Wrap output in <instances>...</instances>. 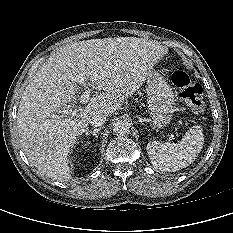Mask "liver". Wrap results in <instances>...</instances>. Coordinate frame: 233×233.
<instances>
[{
    "mask_svg": "<svg viewBox=\"0 0 233 233\" xmlns=\"http://www.w3.org/2000/svg\"><path fill=\"white\" fill-rule=\"evenodd\" d=\"M167 52L153 40L136 37L91 39L69 44L52 54L25 88L17 113L20 142L41 175L60 182L71 179L69 154L88 131V117H107L122 107ZM83 76L99 92L74 114L60 111L76 101Z\"/></svg>",
    "mask_w": 233,
    "mask_h": 233,
    "instance_id": "obj_1",
    "label": "liver"
}]
</instances>
